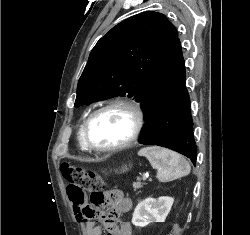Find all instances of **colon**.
Returning <instances> with one entry per match:
<instances>
[{
    "mask_svg": "<svg viewBox=\"0 0 250 235\" xmlns=\"http://www.w3.org/2000/svg\"><path fill=\"white\" fill-rule=\"evenodd\" d=\"M62 174L67 186V194L74 206L83 205L89 198L91 207L94 209L103 205L107 200L103 178L92 171H86L77 164L64 163ZM96 211H92L89 218H94Z\"/></svg>",
    "mask_w": 250,
    "mask_h": 235,
    "instance_id": "colon-1",
    "label": "colon"
}]
</instances>
